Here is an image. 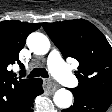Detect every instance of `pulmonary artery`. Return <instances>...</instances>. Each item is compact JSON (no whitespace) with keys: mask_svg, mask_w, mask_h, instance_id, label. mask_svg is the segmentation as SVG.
Returning <instances> with one entry per match:
<instances>
[{"mask_svg":"<svg viewBox=\"0 0 112 112\" xmlns=\"http://www.w3.org/2000/svg\"><path fill=\"white\" fill-rule=\"evenodd\" d=\"M48 67L52 75L68 87H75L77 80L63 63L58 50L53 49L48 55Z\"/></svg>","mask_w":112,"mask_h":112,"instance_id":"1","label":"pulmonary artery"}]
</instances>
